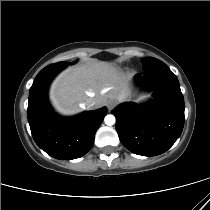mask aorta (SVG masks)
Returning a JSON list of instances; mask_svg holds the SVG:
<instances>
[{
	"instance_id": "762f6f07",
	"label": "aorta",
	"mask_w": 210,
	"mask_h": 210,
	"mask_svg": "<svg viewBox=\"0 0 210 210\" xmlns=\"http://www.w3.org/2000/svg\"><path fill=\"white\" fill-rule=\"evenodd\" d=\"M105 124L108 126L114 125L116 122L115 116L114 115H106L104 118Z\"/></svg>"
}]
</instances>
